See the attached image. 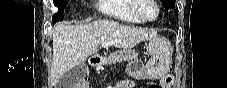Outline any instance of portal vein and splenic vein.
<instances>
[{
    "instance_id": "18ae733b",
    "label": "portal vein and splenic vein",
    "mask_w": 227,
    "mask_h": 88,
    "mask_svg": "<svg viewBox=\"0 0 227 88\" xmlns=\"http://www.w3.org/2000/svg\"><path fill=\"white\" fill-rule=\"evenodd\" d=\"M102 47H108V43H102Z\"/></svg>"
}]
</instances>
